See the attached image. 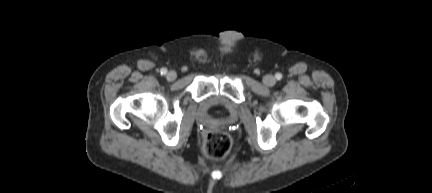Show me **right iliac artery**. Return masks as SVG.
Segmentation results:
<instances>
[{"mask_svg": "<svg viewBox=\"0 0 432 193\" xmlns=\"http://www.w3.org/2000/svg\"><path fill=\"white\" fill-rule=\"evenodd\" d=\"M160 73H161V75H165L167 73V69L161 68Z\"/></svg>", "mask_w": 432, "mask_h": 193, "instance_id": "obj_1", "label": "right iliac artery"}]
</instances>
